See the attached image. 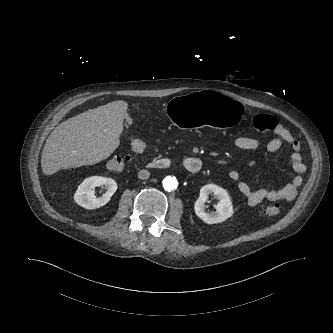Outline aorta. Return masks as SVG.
Wrapping results in <instances>:
<instances>
[{"instance_id":"aorta-1","label":"aorta","mask_w":333,"mask_h":333,"mask_svg":"<svg viewBox=\"0 0 333 333\" xmlns=\"http://www.w3.org/2000/svg\"><path fill=\"white\" fill-rule=\"evenodd\" d=\"M178 186V181L175 177L167 176L163 179V187L164 189L171 191L176 189Z\"/></svg>"}]
</instances>
